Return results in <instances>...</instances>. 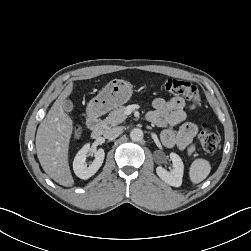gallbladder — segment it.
<instances>
[{
	"instance_id": "obj_1",
	"label": "gallbladder",
	"mask_w": 251,
	"mask_h": 251,
	"mask_svg": "<svg viewBox=\"0 0 251 251\" xmlns=\"http://www.w3.org/2000/svg\"><path fill=\"white\" fill-rule=\"evenodd\" d=\"M63 109L66 112H71L73 110V103L70 100H64L62 103Z\"/></svg>"
}]
</instances>
